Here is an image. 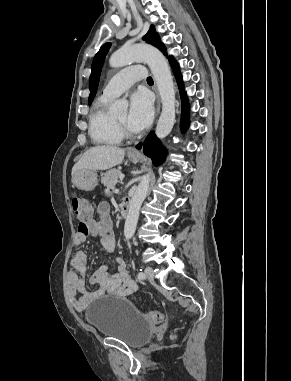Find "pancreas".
Returning <instances> with one entry per match:
<instances>
[{"mask_svg":"<svg viewBox=\"0 0 291 381\" xmlns=\"http://www.w3.org/2000/svg\"><path fill=\"white\" fill-rule=\"evenodd\" d=\"M120 174L119 169H111L101 177V182L108 188L113 187L117 183Z\"/></svg>","mask_w":291,"mask_h":381,"instance_id":"1","label":"pancreas"}]
</instances>
